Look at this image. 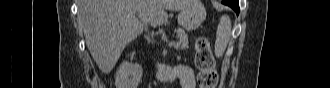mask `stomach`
I'll use <instances>...</instances> for the list:
<instances>
[{
  "instance_id": "obj_1",
  "label": "stomach",
  "mask_w": 330,
  "mask_h": 88,
  "mask_svg": "<svg viewBox=\"0 0 330 88\" xmlns=\"http://www.w3.org/2000/svg\"><path fill=\"white\" fill-rule=\"evenodd\" d=\"M206 18V9L200 0H191L190 4L178 14L179 25L187 30L197 29Z\"/></svg>"
}]
</instances>
